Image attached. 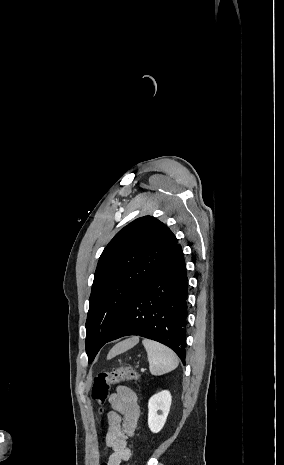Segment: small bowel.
Instances as JSON below:
<instances>
[{
  "label": "small bowel",
  "mask_w": 284,
  "mask_h": 465,
  "mask_svg": "<svg viewBox=\"0 0 284 465\" xmlns=\"http://www.w3.org/2000/svg\"><path fill=\"white\" fill-rule=\"evenodd\" d=\"M111 411L107 414L108 431L105 444L112 452L103 465H120L132 456L128 439L133 436L138 420L140 408L135 392L124 385L117 388L109 399Z\"/></svg>",
  "instance_id": "1"
}]
</instances>
